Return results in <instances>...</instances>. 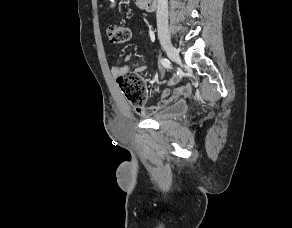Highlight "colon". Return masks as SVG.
I'll return each mask as SVG.
<instances>
[{"mask_svg": "<svg viewBox=\"0 0 292 228\" xmlns=\"http://www.w3.org/2000/svg\"><path fill=\"white\" fill-rule=\"evenodd\" d=\"M108 40L112 45H121L130 38V30L121 24H112L107 29ZM117 83L129 103L135 108L143 107L146 89L143 79L136 73L127 72L117 78Z\"/></svg>", "mask_w": 292, "mask_h": 228, "instance_id": "obj_1", "label": "colon"}]
</instances>
